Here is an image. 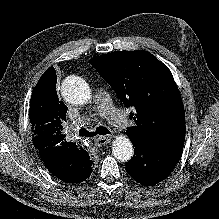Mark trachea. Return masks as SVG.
<instances>
[{"label":"trachea","mask_w":219,"mask_h":219,"mask_svg":"<svg viewBox=\"0 0 219 219\" xmlns=\"http://www.w3.org/2000/svg\"><path fill=\"white\" fill-rule=\"evenodd\" d=\"M97 134L106 135V134H110V131L106 127H103V126L97 127L95 132H90L86 130L85 128H81L79 130V136L81 137H94Z\"/></svg>","instance_id":"trachea-1"}]
</instances>
